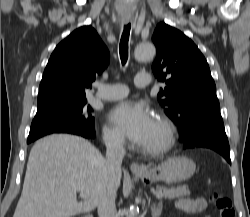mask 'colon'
I'll list each match as a JSON object with an SVG mask.
<instances>
[{"instance_id": "1", "label": "colon", "mask_w": 250, "mask_h": 217, "mask_svg": "<svg viewBox=\"0 0 250 217\" xmlns=\"http://www.w3.org/2000/svg\"><path fill=\"white\" fill-rule=\"evenodd\" d=\"M215 206L218 210L219 217H234L235 211L232 205V201L229 196L217 192L213 195Z\"/></svg>"}]
</instances>
